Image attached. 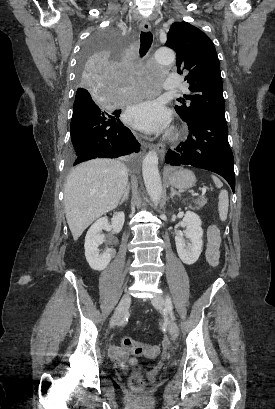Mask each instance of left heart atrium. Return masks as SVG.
Returning a JSON list of instances; mask_svg holds the SVG:
<instances>
[{"label":"left heart atrium","instance_id":"39dd6f15","mask_svg":"<svg viewBox=\"0 0 275 409\" xmlns=\"http://www.w3.org/2000/svg\"><path fill=\"white\" fill-rule=\"evenodd\" d=\"M127 121L146 133H157L169 126L170 113L156 100L141 101L128 110Z\"/></svg>","mask_w":275,"mask_h":409}]
</instances>
